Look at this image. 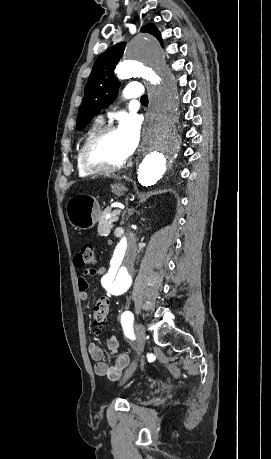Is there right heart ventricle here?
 I'll use <instances>...</instances> for the list:
<instances>
[{
	"label": "right heart ventricle",
	"instance_id": "right-heart-ventricle-1",
	"mask_svg": "<svg viewBox=\"0 0 271 459\" xmlns=\"http://www.w3.org/2000/svg\"><path fill=\"white\" fill-rule=\"evenodd\" d=\"M98 128H100V123L98 121H95L92 125H90L85 132L83 133L81 140L77 146L76 149V155H75V163H76V169L77 173L80 177L82 178H92L95 175L101 173V171H96V170H91L85 166L82 160L81 156V149L82 146L85 142V140L92 134L94 133Z\"/></svg>",
	"mask_w": 271,
	"mask_h": 459
}]
</instances>
